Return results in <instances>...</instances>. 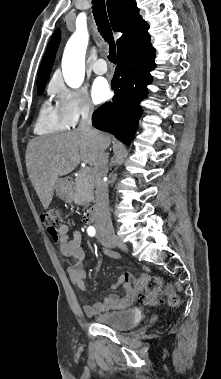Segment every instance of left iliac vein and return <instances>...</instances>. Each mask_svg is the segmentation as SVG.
Segmentation results:
<instances>
[{
  "label": "left iliac vein",
  "mask_w": 221,
  "mask_h": 379,
  "mask_svg": "<svg viewBox=\"0 0 221 379\" xmlns=\"http://www.w3.org/2000/svg\"><path fill=\"white\" fill-rule=\"evenodd\" d=\"M101 242H102V244H103L104 246H106V247H108V248H112V247H113L112 244L107 243L105 240H102Z\"/></svg>",
  "instance_id": "obj_1"
}]
</instances>
